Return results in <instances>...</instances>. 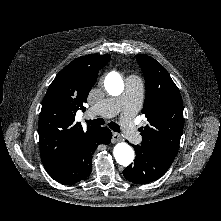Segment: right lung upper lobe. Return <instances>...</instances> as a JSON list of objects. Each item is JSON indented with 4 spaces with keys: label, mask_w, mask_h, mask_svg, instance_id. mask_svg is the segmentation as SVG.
Masks as SVG:
<instances>
[{
    "label": "right lung upper lobe",
    "mask_w": 221,
    "mask_h": 221,
    "mask_svg": "<svg viewBox=\"0 0 221 221\" xmlns=\"http://www.w3.org/2000/svg\"><path fill=\"white\" fill-rule=\"evenodd\" d=\"M110 55H86L79 57L62 69L48 87L43 99L38 123L41 160L53 179L67 169L74 148L96 127L83 129L75 122L78 109L95 84L99 70Z\"/></svg>",
    "instance_id": "cb5924a9"
}]
</instances>
